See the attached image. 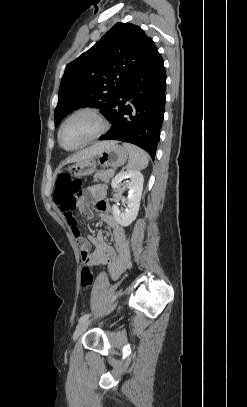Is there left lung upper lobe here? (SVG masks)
<instances>
[{
	"mask_svg": "<svg viewBox=\"0 0 247 407\" xmlns=\"http://www.w3.org/2000/svg\"><path fill=\"white\" fill-rule=\"evenodd\" d=\"M156 50L139 26L116 23L92 48L66 66L54 113L55 126L81 107L99 108L108 119L124 86Z\"/></svg>",
	"mask_w": 247,
	"mask_h": 407,
	"instance_id": "1",
	"label": "left lung upper lobe"
}]
</instances>
